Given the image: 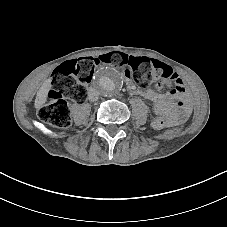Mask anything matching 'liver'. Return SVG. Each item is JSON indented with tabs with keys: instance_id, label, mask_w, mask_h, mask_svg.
Listing matches in <instances>:
<instances>
[{
	"instance_id": "1",
	"label": "liver",
	"mask_w": 227,
	"mask_h": 227,
	"mask_svg": "<svg viewBox=\"0 0 227 227\" xmlns=\"http://www.w3.org/2000/svg\"><path fill=\"white\" fill-rule=\"evenodd\" d=\"M51 89V80L47 79L39 88L36 94L34 106L39 111L47 101L48 91Z\"/></svg>"
}]
</instances>
